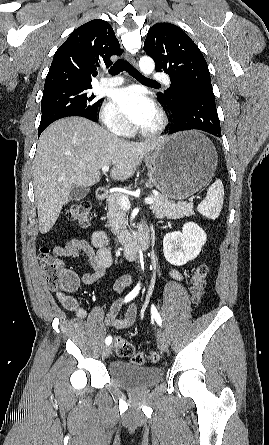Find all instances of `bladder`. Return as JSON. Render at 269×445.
Instances as JSON below:
<instances>
[{"label":"bladder","instance_id":"1","mask_svg":"<svg viewBox=\"0 0 269 445\" xmlns=\"http://www.w3.org/2000/svg\"><path fill=\"white\" fill-rule=\"evenodd\" d=\"M111 380L121 388L140 391L156 385L162 378V370L157 366H137L122 360L109 364Z\"/></svg>","mask_w":269,"mask_h":445}]
</instances>
